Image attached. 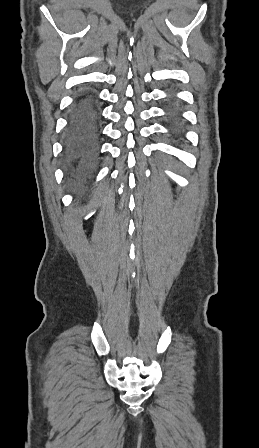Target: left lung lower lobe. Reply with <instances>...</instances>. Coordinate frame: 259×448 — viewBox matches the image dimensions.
Listing matches in <instances>:
<instances>
[{
	"label": "left lung lower lobe",
	"instance_id": "left-lung-lower-lobe-1",
	"mask_svg": "<svg viewBox=\"0 0 259 448\" xmlns=\"http://www.w3.org/2000/svg\"><path fill=\"white\" fill-rule=\"evenodd\" d=\"M168 119L171 122L173 135L176 138H179L182 131V117L174 99L171 100V104L168 108Z\"/></svg>",
	"mask_w": 259,
	"mask_h": 448
}]
</instances>
